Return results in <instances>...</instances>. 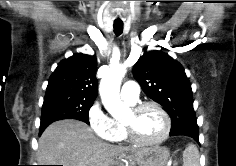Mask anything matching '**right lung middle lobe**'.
<instances>
[{
    "mask_svg": "<svg viewBox=\"0 0 236 166\" xmlns=\"http://www.w3.org/2000/svg\"><path fill=\"white\" fill-rule=\"evenodd\" d=\"M94 100L65 95L46 96L42 106L40 128L61 119H77L89 124V110Z\"/></svg>",
    "mask_w": 236,
    "mask_h": 166,
    "instance_id": "dd1d6c3e",
    "label": "right lung middle lobe"
}]
</instances>
